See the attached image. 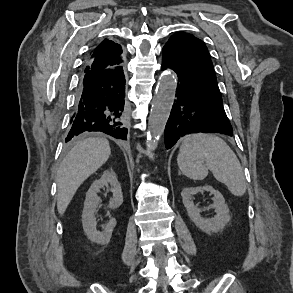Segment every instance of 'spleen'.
<instances>
[{
    "label": "spleen",
    "mask_w": 293,
    "mask_h": 293,
    "mask_svg": "<svg viewBox=\"0 0 293 293\" xmlns=\"http://www.w3.org/2000/svg\"><path fill=\"white\" fill-rule=\"evenodd\" d=\"M177 163L182 174L202 180L212 171L215 179L224 183L235 196L246 192L241 164L228 144L213 134H190L182 139Z\"/></svg>",
    "instance_id": "obj_1"
}]
</instances>
